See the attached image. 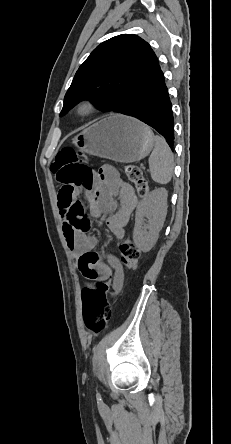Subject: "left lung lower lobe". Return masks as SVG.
Wrapping results in <instances>:
<instances>
[{
    "label": "left lung lower lobe",
    "mask_w": 231,
    "mask_h": 444,
    "mask_svg": "<svg viewBox=\"0 0 231 444\" xmlns=\"http://www.w3.org/2000/svg\"><path fill=\"white\" fill-rule=\"evenodd\" d=\"M119 113L137 118L156 129L173 150L172 104L158 59L141 76L138 86L128 97Z\"/></svg>",
    "instance_id": "left-lung-lower-lobe-1"
}]
</instances>
